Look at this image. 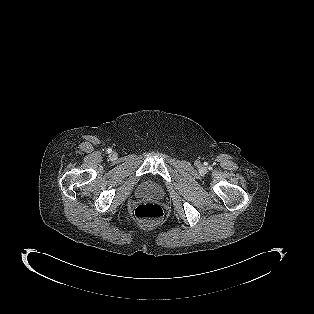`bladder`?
<instances>
[{
	"label": "bladder",
	"instance_id": "obj_1",
	"mask_svg": "<svg viewBox=\"0 0 314 314\" xmlns=\"http://www.w3.org/2000/svg\"><path fill=\"white\" fill-rule=\"evenodd\" d=\"M143 192L147 195L158 196L161 194V188L156 184L147 183L143 186Z\"/></svg>",
	"mask_w": 314,
	"mask_h": 314
}]
</instances>
